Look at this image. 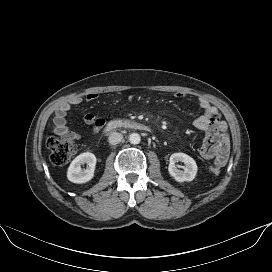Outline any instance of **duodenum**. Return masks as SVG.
Wrapping results in <instances>:
<instances>
[{
    "label": "duodenum",
    "mask_w": 272,
    "mask_h": 272,
    "mask_svg": "<svg viewBox=\"0 0 272 272\" xmlns=\"http://www.w3.org/2000/svg\"><path fill=\"white\" fill-rule=\"evenodd\" d=\"M120 128H128V129L140 130V131H150V127L144 123L130 121V120H118V119L109 121L105 126V131L112 132Z\"/></svg>",
    "instance_id": "obj_1"
}]
</instances>
